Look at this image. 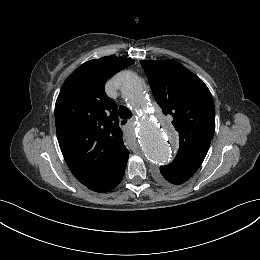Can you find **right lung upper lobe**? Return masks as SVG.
<instances>
[{
  "label": "right lung upper lobe",
  "instance_id": "right-lung-upper-lobe-1",
  "mask_svg": "<svg viewBox=\"0 0 260 260\" xmlns=\"http://www.w3.org/2000/svg\"><path fill=\"white\" fill-rule=\"evenodd\" d=\"M133 62L109 56L87 61L65 80L57 98L60 149L74 176L87 187L113 179L126 167L129 151L118 126L117 106L104 87Z\"/></svg>",
  "mask_w": 260,
  "mask_h": 260
}]
</instances>
